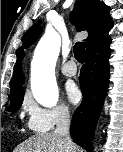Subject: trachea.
<instances>
[{"instance_id":"trachea-1","label":"trachea","mask_w":123,"mask_h":152,"mask_svg":"<svg viewBox=\"0 0 123 152\" xmlns=\"http://www.w3.org/2000/svg\"><path fill=\"white\" fill-rule=\"evenodd\" d=\"M84 50H85V44L83 42H77L74 46V56L76 60L80 63H83L84 61Z\"/></svg>"}]
</instances>
